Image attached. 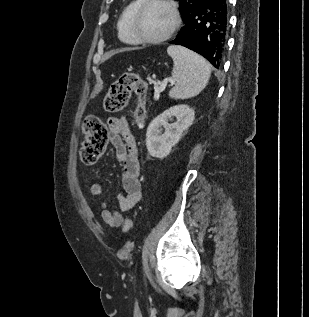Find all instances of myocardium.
<instances>
[{
	"mask_svg": "<svg viewBox=\"0 0 309 317\" xmlns=\"http://www.w3.org/2000/svg\"><path fill=\"white\" fill-rule=\"evenodd\" d=\"M153 3H161V4L168 6L172 11L174 20H173V24H172L171 28L164 35L159 36V37H155V38H149V37L143 36L139 32V30L137 28V23H138L139 17L141 15V13L143 12V10L147 6H149L150 4H153ZM181 22H182L181 14H180L178 5L175 1H173V0H142L141 3L136 7V9L131 17V30H132L133 35L135 36V38L137 39V41L139 43L158 44V43H162V42L170 39L176 33V31L179 29Z\"/></svg>",
	"mask_w": 309,
	"mask_h": 317,
	"instance_id": "f54148a6",
	"label": "myocardium"
}]
</instances>
